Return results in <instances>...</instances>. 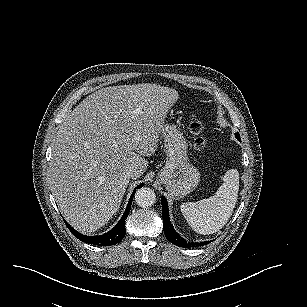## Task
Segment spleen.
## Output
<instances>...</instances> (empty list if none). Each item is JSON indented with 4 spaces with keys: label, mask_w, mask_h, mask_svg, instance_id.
<instances>
[{
    "label": "spleen",
    "mask_w": 307,
    "mask_h": 307,
    "mask_svg": "<svg viewBox=\"0 0 307 307\" xmlns=\"http://www.w3.org/2000/svg\"><path fill=\"white\" fill-rule=\"evenodd\" d=\"M239 187V171L229 169L213 197L181 205V211L191 228L201 235H212L220 231L234 212Z\"/></svg>",
    "instance_id": "3e777b00"
}]
</instances>
